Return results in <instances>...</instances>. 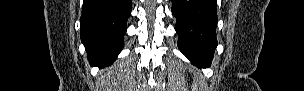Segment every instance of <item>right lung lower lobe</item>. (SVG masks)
Returning a JSON list of instances; mask_svg holds the SVG:
<instances>
[{
    "label": "right lung lower lobe",
    "instance_id": "98d812e1",
    "mask_svg": "<svg viewBox=\"0 0 304 91\" xmlns=\"http://www.w3.org/2000/svg\"><path fill=\"white\" fill-rule=\"evenodd\" d=\"M131 0H84L80 36L93 66H109L123 49Z\"/></svg>",
    "mask_w": 304,
    "mask_h": 91
}]
</instances>
